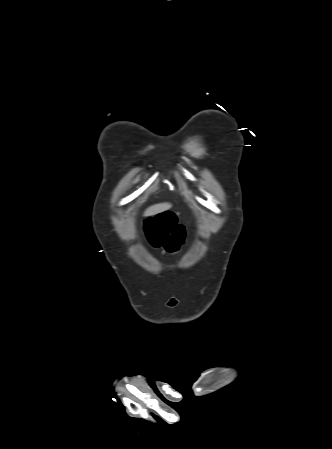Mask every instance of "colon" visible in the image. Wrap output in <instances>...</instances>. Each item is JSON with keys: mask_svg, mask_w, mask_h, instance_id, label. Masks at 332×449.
Returning a JSON list of instances; mask_svg holds the SVG:
<instances>
[{"mask_svg": "<svg viewBox=\"0 0 332 449\" xmlns=\"http://www.w3.org/2000/svg\"><path fill=\"white\" fill-rule=\"evenodd\" d=\"M145 229L152 247H163L175 253L185 240V228L171 212H163L145 221Z\"/></svg>", "mask_w": 332, "mask_h": 449, "instance_id": "5ec220e1", "label": "colon"}]
</instances>
